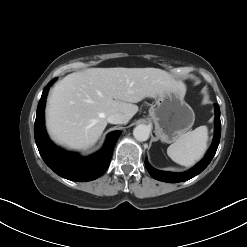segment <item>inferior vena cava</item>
Instances as JSON below:
<instances>
[{"label": "inferior vena cava", "instance_id": "inferior-vena-cava-1", "mask_svg": "<svg viewBox=\"0 0 247 247\" xmlns=\"http://www.w3.org/2000/svg\"><path fill=\"white\" fill-rule=\"evenodd\" d=\"M107 121L111 124H125L128 122L127 117L122 113H112L107 117Z\"/></svg>", "mask_w": 247, "mask_h": 247}]
</instances>
